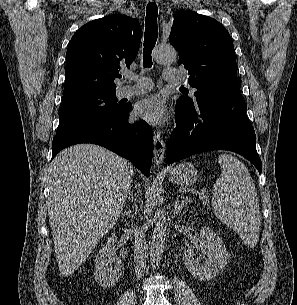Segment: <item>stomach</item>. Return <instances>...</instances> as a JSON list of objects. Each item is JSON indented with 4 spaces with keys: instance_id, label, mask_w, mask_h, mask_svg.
I'll use <instances>...</instances> for the list:
<instances>
[{
    "instance_id": "stomach-1",
    "label": "stomach",
    "mask_w": 297,
    "mask_h": 305,
    "mask_svg": "<svg viewBox=\"0 0 297 305\" xmlns=\"http://www.w3.org/2000/svg\"><path fill=\"white\" fill-rule=\"evenodd\" d=\"M168 180L179 186H189L197 181V170L189 162L174 166L168 173Z\"/></svg>"
}]
</instances>
